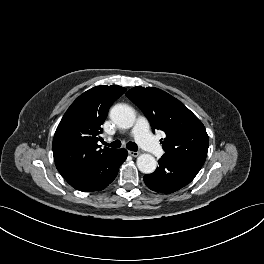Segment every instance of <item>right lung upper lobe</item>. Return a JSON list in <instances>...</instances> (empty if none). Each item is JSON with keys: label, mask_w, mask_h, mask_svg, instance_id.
Wrapping results in <instances>:
<instances>
[{"label": "right lung upper lobe", "mask_w": 264, "mask_h": 264, "mask_svg": "<svg viewBox=\"0 0 264 264\" xmlns=\"http://www.w3.org/2000/svg\"><path fill=\"white\" fill-rule=\"evenodd\" d=\"M125 88L96 86L80 95L68 108L53 138V155L60 174L68 177L103 158L114 149H100L101 125L112 103Z\"/></svg>", "instance_id": "right-lung-upper-lobe-1"}]
</instances>
